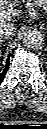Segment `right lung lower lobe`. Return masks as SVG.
<instances>
[{"label": "right lung lower lobe", "instance_id": "1", "mask_svg": "<svg viewBox=\"0 0 47 129\" xmlns=\"http://www.w3.org/2000/svg\"><path fill=\"white\" fill-rule=\"evenodd\" d=\"M8 68H9V56H8V59H7V62H6V66L3 70V72L0 74V83L4 80L5 74L8 71Z\"/></svg>", "mask_w": 47, "mask_h": 129}]
</instances>
